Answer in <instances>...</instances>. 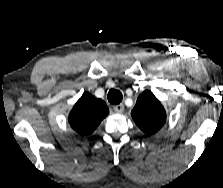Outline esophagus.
<instances>
[{"instance_id": "obj_1", "label": "esophagus", "mask_w": 223, "mask_h": 188, "mask_svg": "<svg viewBox=\"0 0 223 188\" xmlns=\"http://www.w3.org/2000/svg\"><path fill=\"white\" fill-rule=\"evenodd\" d=\"M113 110L115 112H118V113L123 112L124 111V104L121 103V104L115 105L113 107Z\"/></svg>"}]
</instances>
